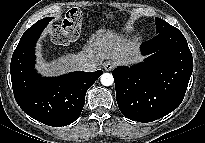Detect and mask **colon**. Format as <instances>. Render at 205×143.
Masks as SVG:
<instances>
[{
    "instance_id": "obj_1",
    "label": "colon",
    "mask_w": 205,
    "mask_h": 143,
    "mask_svg": "<svg viewBox=\"0 0 205 143\" xmlns=\"http://www.w3.org/2000/svg\"><path fill=\"white\" fill-rule=\"evenodd\" d=\"M81 24L82 13L76 8L69 10L63 22L52 28V40L63 45L75 42L80 35Z\"/></svg>"
}]
</instances>
